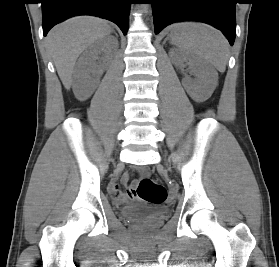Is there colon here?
Instances as JSON below:
<instances>
[{"label": "colon", "mask_w": 279, "mask_h": 267, "mask_svg": "<svg viewBox=\"0 0 279 267\" xmlns=\"http://www.w3.org/2000/svg\"><path fill=\"white\" fill-rule=\"evenodd\" d=\"M138 196L141 200L150 204H162L167 198L166 188L152 180L147 173H143L136 184Z\"/></svg>", "instance_id": "5ec220e1"}]
</instances>
